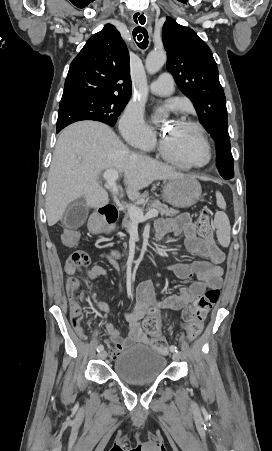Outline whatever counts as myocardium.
Returning a JSON list of instances; mask_svg holds the SVG:
<instances>
[{"mask_svg":"<svg viewBox=\"0 0 272 451\" xmlns=\"http://www.w3.org/2000/svg\"><path fill=\"white\" fill-rule=\"evenodd\" d=\"M177 122L190 127L191 129H193L196 132L197 137L201 143V146H202L204 154H205V159L201 163L186 162L187 168L197 170V169H203V168L207 167L212 161V150H211L210 144L208 142V139L205 136L203 128L198 123L188 120L186 118H179V119H177ZM161 151L166 156H168L170 153V148L167 143L166 137H162ZM171 161H173L174 163H178L181 161V159L176 154H172Z\"/></svg>","mask_w":272,"mask_h":451,"instance_id":"f54148a6","label":"myocardium"}]
</instances>
